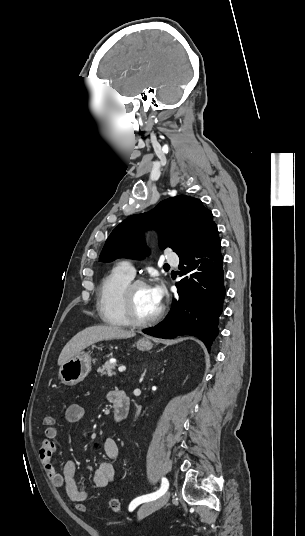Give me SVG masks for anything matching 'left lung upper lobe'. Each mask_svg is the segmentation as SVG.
<instances>
[{
  "instance_id": "obj_1",
  "label": "left lung upper lobe",
  "mask_w": 305,
  "mask_h": 536,
  "mask_svg": "<svg viewBox=\"0 0 305 536\" xmlns=\"http://www.w3.org/2000/svg\"><path fill=\"white\" fill-rule=\"evenodd\" d=\"M150 227L158 230L161 249L171 248L180 257L193 250L216 224L211 211L199 199L178 195L121 222L106 240L99 260L144 258L148 251L144 229Z\"/></svg>"
}]
</instances>
